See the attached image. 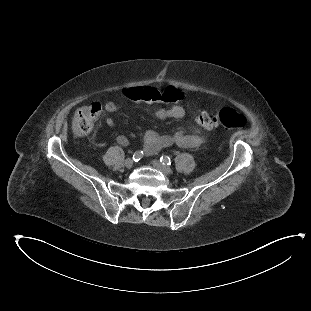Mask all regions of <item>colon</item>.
<instances>
[{
	"instance_id": "1",
	"label": "colon",
	"mask_w": 311,
	"mask_h": 311,
	"mask_svg": "<svg viewBox=\"0 0 311 311\" xmlns=\"http://www.w3.org/2000/svg\"><path fill=\"white\" fill-rule=\"evenodd\" d=\"M122 95L126 99H134L135 101H147L148 103H178L183 95L173 88L163 90L156 89L154 85L147 84L139 89L135 86H126L122 90ZM106 104L100 102L85 104L81 106L75 113L72 128L76 136L82 137L88 135L94 126V120L101 116ZM197 121L206 127L213 128L211 117L202 110L194 109ZM220 118L219 125L228 128H242L246 123L245 117L232 107H223L218 111Z\"/></svg>"
}]
</instances>
